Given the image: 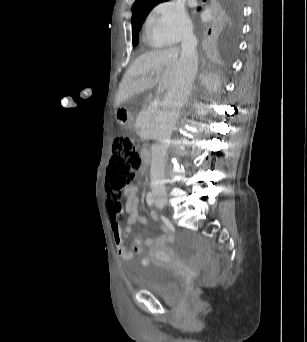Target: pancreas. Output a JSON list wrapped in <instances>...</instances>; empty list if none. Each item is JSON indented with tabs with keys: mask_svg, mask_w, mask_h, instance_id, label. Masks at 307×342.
Masks as SVG:
<instances>
[{
	"mask_svg": "<svg viewBox=\"0 0 307 342\" xmlns=\"http://www.w3.org/2000/svg\"><path fill=\"white\" fill-rule=\"evenodd\" d=\"M156 120V114L148 115L147 112H140L136 118L135 128L139 130L140 134H145L148 138L145 140H149L150 136L153 134V126L152 122Z\"/></svg>",
	"mask_w": 307,
	"mask_h": 342,
	"instance_id": "pancreas-1",
	"label": "pancreas"
}]
</instances>
